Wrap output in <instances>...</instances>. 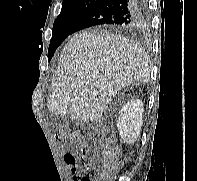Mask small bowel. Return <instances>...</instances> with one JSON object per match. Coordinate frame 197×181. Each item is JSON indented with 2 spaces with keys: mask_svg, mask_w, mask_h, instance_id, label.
Segmentation results:
<instances>
[{
  "mask_svg": "<svg viewBox=\"0 0 197 181\" xmlns=\"http://www.w3.org/2000/svg\"><path fill=\"white\" fill-rule=\"evenodd\" d=\"M71 138L72 139H78V135L77 134H72L71 135ZM60 140H61V142H63V139L62 138H60ZM83 150L87 151L86 149H83ZM82 151L80 152L79 155L76 154V153H74V152H68V153H65V155H64V160H65L67 166L69 167V169L72 172H76V170H77V167H78V158L81 159V153H82ZM73 181H78V179L77 178H73Z\"/></svg>",
  "mask_w": 197,
  "mask_h": 181,
  "instance_id": "small-bowel-1",
  "label": "small bowel"
}]
</instances>
